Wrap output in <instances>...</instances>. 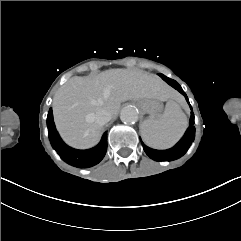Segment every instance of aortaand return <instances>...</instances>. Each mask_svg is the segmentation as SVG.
Listing matches in <instances>:
<instances>
[{"instance_id": "obj_1", "label": "aorta", "mask_w": 241, "mask_h": 241, "mask_svg": "<svg viewBox=\"0 0 241 241\" xmlns=\"http://www.w3.org/2000/svg\"><path fill=\"white\" fill-rule=\"evenodd\" d=\"M138 118V112L134 107H124L120 112V119L124 124H134Z\"/></svg>"}]
</instances>
